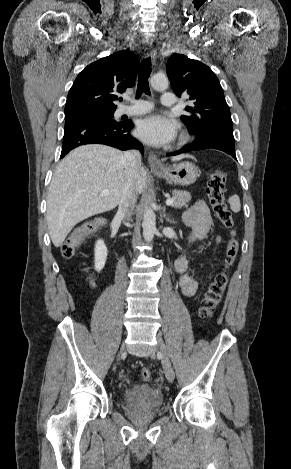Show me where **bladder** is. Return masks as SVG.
Returning <instances> with one entry per match:
<instances>
[{
    "mask_svg": "<svg viewBox=\"0 0 291 469\" xmlns=\"http://www.w3.org/2000/svg\"><path fill=\"white\" fill-rule=\"evenodd\" d=\"M124 404L134 410H158L164 403L162 393L147 384H137L122 393Z\"/></svg>",
    "mask_w": 291,
    "mask_h": 469,
    "instance_id": "31cf9c89",
    "label": "bladder"
}]
</instances>
